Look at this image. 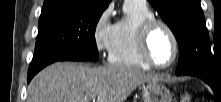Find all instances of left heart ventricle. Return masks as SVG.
Instances as JSON below:
<instances>
[{"label": "left heart ventricle", "mask_w": 221, "mask_h": 102, "mask_svg": "<svg viewBox=\"0 0 221 102\" xmlns=\"http://www.w3.org/2000/svg\"><path fill=\"white\" fill-rule=\"evenodd\" d=\"M150 55L158 64H167L174 55L173 41L164 28H157L150 38Z\"/></svg>", "instance_id": "left-heart-ventricle-1"}]
</instances>
